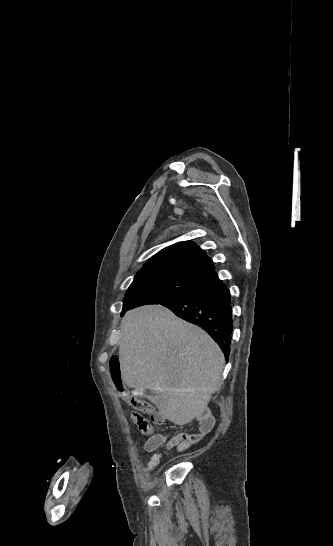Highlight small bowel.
Returning <instances> with one entry per match:
<instances>
[{"mask_svg": "<svg viewBox=\"0 0 333 546\" xmlns=\"http://www.w3.org/2000/svg\"><path fill=\"white\" fill-rule=\"evenodd\" d=\"M152 420L157 423H163L165 418L159 413L152 415ZM213 418L211 416H202L199 418L198 432L191 435L178 434L169 438L166 434L155 435L143 444V450L147 453H153L151 458L147 461V471H151L159 464L162 459V453L156 452L161 446H165L167 451L176 447L178 451L186 450L191 444L197 443L201 438L212 428Z\"/></svg>", "mask_w": 333, "mask_h": 546, "instance_id": "obj_1", "label": "small bowel"}]
</instances>
